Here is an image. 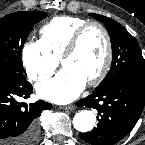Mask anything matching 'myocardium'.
I'll list each match as a JSON object with an SVG mask.
<instances>
[{"instance_id": "1", "label": "myocardium", "mask_w": 145, "mask_h": 145, "mask_svg": "<svg viewBox=\"0 0 145 145\" xmlns=\"http://www.w3.org/2000/svg\"><path fill=\"white\" fill-rule=\"evenodd\" d=\"M91 27L98 28L103 33L106 42V55H105V60L103 62V65L99 73L93 79L87 82L88 86L94 87L99 85L106 78V76L110 71L112 60H113L112 39L109 31L106 29V27L103 24L97 21H88L85 24L78 27L73 33L71 39L69 40L64 52L60 56V63L63 65L64 60L75 52L83 34Z\"/></svg>"}]
</instances>
